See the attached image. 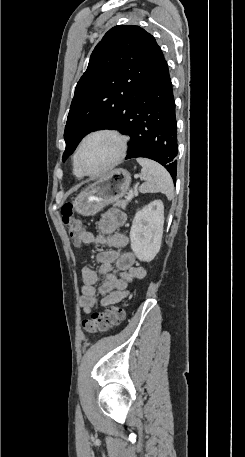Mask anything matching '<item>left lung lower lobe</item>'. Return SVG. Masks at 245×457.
<instances>
[{
    "instance_id": "left-lung-lower-lobe-1",
    "label": "left lung lower lobe",
    "mask_w": 245,
    "mask_h": 457,
    "mask_svg": "<svg viewBox=\"0 0 245 457\" xmlns=\"http://www.w3.org/2000/svg\"><path fill=\"white\" fill-rule=\"evenodd\" d=\"M145 89L144 99L124 123L113 129L131 137L126 159L146 157L155 160L168 170L175 182L177 119L169 69L162 51Z\"/></svg>"
}]
</instances>
